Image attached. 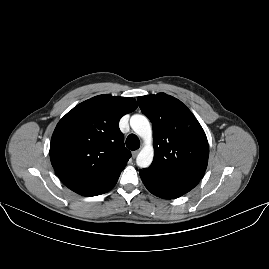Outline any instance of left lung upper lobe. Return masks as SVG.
I'll return each mask as SVG.
<instances>
[{"label": "left lung upper lobe", "mask_w": 269, "mask_h": 269, "mask_svg": "<svg viewBox=\"0 0 269 269\" xmlns=\"http://www.w3.org/2000/svg\"><path fill=\"white\" fill-rule=\"evenodd\" d=\"M137 101L153 126L154 159L144 170L198 184L207 168L209 146L192 112L165 93L140 96Z\"/></svg>", "instance_id": "1"}]
</instances>
